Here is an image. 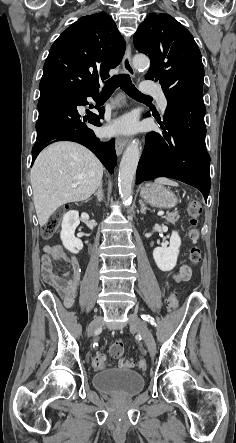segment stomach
I'll list each match as a JSON object with an SVG mask.
<instances>
[{
  "mask_svg": "<svg viewBox=\"0 0 236 443\" xmlns=\"http://www.w3.org/2000/svg\"><path fill=\"white\" fill-rule=\"evenodd\" d=\"M144 201L158 208H172L177 204L176 196L166 187L157 183H147L141 188Z\"/></svg>",
  "mask_w": 236,
  "mask_h": 443,
  "instance_id": "0dacf381",
  "label": "stomach"
}]
</instances>
